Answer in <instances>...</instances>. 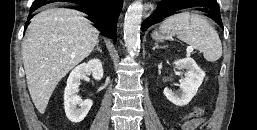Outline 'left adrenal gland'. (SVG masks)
<instances>
[{"instance_id": "left-adrenal-gland-1", "label": "left adrenal gland", "mask_w": 257, "mask_h": 130, "mask_svg": "<svg viewBox=\"0 0 257 130\" xmlns=\"http://www.w3.org/2000/svg\"><path fill=\"white\" fill-rule=\"evenodd\" d=\"M159 48H164V47L159 46V45H158V43H155V45H154V47H153V50H155V49H159Z\"/></svg>"}]
</instances>
